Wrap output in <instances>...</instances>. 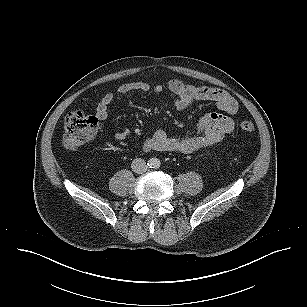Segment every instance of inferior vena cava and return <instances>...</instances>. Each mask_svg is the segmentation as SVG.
I'll use <instances>...</instances> for the list:
<instances>
[{
	"mask_svg": "<svg viewBox=\"0 0 307 307\" xmlns=\"http://www.w3.org/2000/svg\"><path fill=\"white\" fill-rule=\"evenodd\" d=\"M131 168L135 173L142 174L147 171L148 166L144 159L136 158L132 161Z\"/></svg>",
	"mask_w": 307,
	"mask_h": 307,
	"instance_id": "obj_1",
	"label": "inferior vena cava"
}]
</instances>
